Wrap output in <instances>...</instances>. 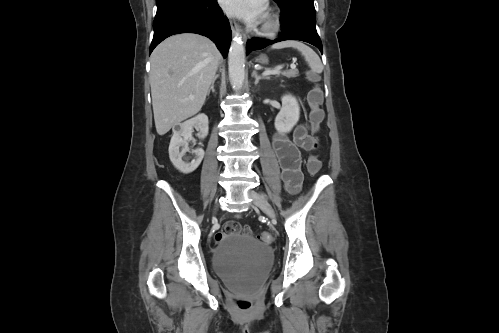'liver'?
I'll return each instance as SVG.
<instances>
[{
  "label": "liver",
  "mask_w": 499,
  "mask_h": 333,
  "mask_svg": "<svg viewBox=\"0 0 499 333\" xmlns=\"http://www.w3.org/2000/svg\"><path fill=\"white\" fill-rule=\"evenodd\" d=\"M220 59L211 40L193 33L173 35L155 48L150 85L159 135L201 110Z\"/></svg>",
  "instance_id": "obj_1"
}]
</instances>
